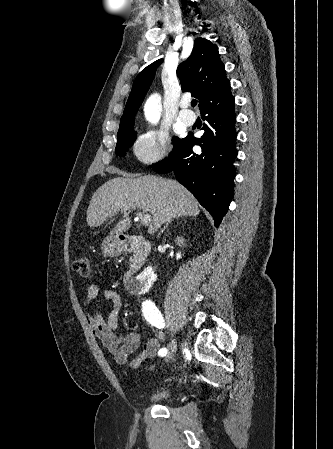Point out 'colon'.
Listing matches in <instances>:
<instances>
[{"label": "colon", "mask_w": 333, "mask_h": 449, "mask_svg": "<svg viewBox=\"0 0 333 449\" xmlns=\"http://www.w3.org/2000/svg\"><path fill=\"white\" fill-rule=\"evenodd\" d=\"M74 270L82 276H86L90 271V259L86 256L80 257L74 261Z\"/></svg>", "instance_id": "5ec220e1"}]
</instances>
